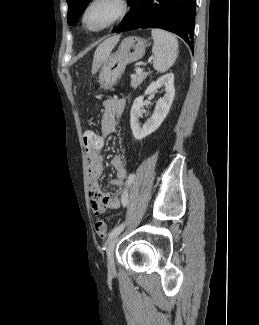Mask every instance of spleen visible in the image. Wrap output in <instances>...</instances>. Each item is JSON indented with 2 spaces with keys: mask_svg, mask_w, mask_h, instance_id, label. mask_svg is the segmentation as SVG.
<instances>
[{
  "mask_svg": "<svg viewBox=\"0 0 259 325\" xmlns=\"http://www.w3.org/2000/svg\"><path fill=\"white\" fill-rule=\"evenodd\" d=\"M153 38V67L157 72L167 71L178 56V41L174 35L162 30L152 29Z\"/></svg>",
  "mask_w": 259,
  "mask_h": 325,
  "instance_id": "3e777b00",
  "label": "spleen"
}]
</instances>
